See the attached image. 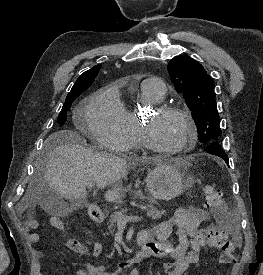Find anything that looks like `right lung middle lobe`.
Here are the masks:
<instances>
[{
    "label": "right lung middle lobe",
    "instance_id": "right-lung-middle-lobe-1",
    "mask_svg": "<svg viewBox=\"0 0 263 275\" xmlns=\"http://www.w3.org/2000/svg\"><path fill=\"white\" fill-rule=\"evenodd\" d=\"M87 88H84L82 90H78L74 92L73 94H69L66 97L65 103L61 109V112L58 116V123L60 125H64L67 118V112L70 110L72 102L77 98L83 91H85Z\"/></svg>",
    "mask_w": 263,
    "mask_h": 275
}]
</instances>
